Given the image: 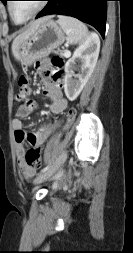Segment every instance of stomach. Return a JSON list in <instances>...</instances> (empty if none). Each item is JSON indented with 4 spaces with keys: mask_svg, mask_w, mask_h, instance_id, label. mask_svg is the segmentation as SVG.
Instances as JSON below:
<instances>
[{
    "mask_svg": "<svg viewBox=\"0 0 133 253\" xmlns=\"http://www.w3.org/2000/svg\"><path fill=\"white\" fill-rule=\"evenodd\" d=\"M65 35L62 29L52 20L43 22L38 29L19 47L18 59L25 65L48 56L63 44Z\"/></svg>",
    "mask_w": 133,
    "mask_h": 253,
    "instance_id": "obj_1",
    "label": "stomach"
}]
</instances>
